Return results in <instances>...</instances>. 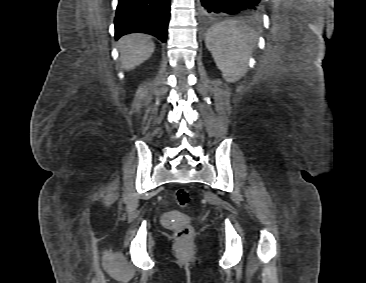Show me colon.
I'll return each instance as SVG.
<instances>
[{
  "mask_svg": "<svg viewBox=\"0 0 366 283\" xmlns=\"http://www.w3.org/2000/svg\"><path fill=\"white\" fill-rule=\"evenodd\" d=\"M175 200L180 207H187L192 202V196L188 190L180 188L176 191ZM174 235L176 240L183 244L191 235V227L189 225L177 227L174 229Z\"/></svg>",
  "mask_w": 366,
  "mask_h": 283,
  "instance_id": "5ec220e1",
  "label": "colon"
}]
</instances>
